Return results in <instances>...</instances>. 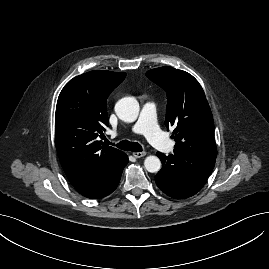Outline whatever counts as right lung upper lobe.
Masks as SVG:
<instances>
[{"label":"right lung upper lobe","instance_id":"right-lung-upper-lobe-1","mask_svg":"<svg viewBox=\"0 0 269 269\" xmlns=\"http://www.w3.org/2000/svg\"><path fill=\"white\" fill-rule=\"evenodd\" d=\"M125 76L124 72L90 71L70 80L60 92L55 144L73 186L101 177L125 156L97 139L108 126L106 100Z\"/></svg>","mask_w":269,"mask_h":269}]
</instances>
